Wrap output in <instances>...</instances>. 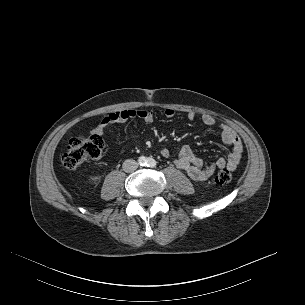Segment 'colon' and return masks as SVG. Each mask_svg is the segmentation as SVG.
Wrapping results in <instances>:
<instances>
[{"label":"colon","mask_w":305,"mask_h":305,"mask_svg":"<svg viewBox=\"0 0 305 305\" xmlns=\"http://www.w3.org/2000/svg\"><path fill=\"white\" fill-rule=\"evenodd\" d=\"M104 148V141L100 135L75 136L67 145V150L61 157L62 164L67 169H75L80 165L99 158ZM215 181L219 185H226L232 181L229 170H221L217 173Z\"/></svg>","instance_id":"obj_1"}]
</instances>
